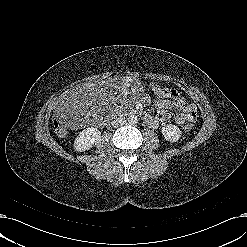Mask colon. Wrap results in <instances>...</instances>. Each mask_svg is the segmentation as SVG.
Returning <instances> with one entry per match:
<instances>
[{
	"label": "colon",
	"instance_id": "obj_1",
	"mask_svg": "<svg viewBox=\"0 0 247 247\" xmlns=\"http://www.w3.org/2000/svg\"><path fill=\"white\" fill-rule=\"evenodd\" d=\"M150 95L156 101L163 102V101H165L167 99L168 92L162 86L155 85V86H153L151 88ZM68 116H70V114L63 115L60 118H58L57 120H55L54 123H53L55 132L60 136H63V135H65L67 133L66 121H67ZM193 122L194 121H189L185 125V127H184L185 131L189 132V131H191L193 129V126H194Z\"/></svg>",
	"mask_w": 247,
	"mask_h": 247
}]
</instances>
